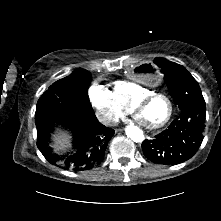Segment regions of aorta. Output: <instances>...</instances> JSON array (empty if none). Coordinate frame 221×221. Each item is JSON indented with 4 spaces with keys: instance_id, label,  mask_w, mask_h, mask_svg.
<instances>
[{
    "instance_id": "obj_1",
    "label": "aorta",
    "mask_w": 221,
    "mask_h": 221,
    "mask_svg": "<svg viewBox=\"0 0 221 221\" xmlns=\"http://www.w3.org/2000/svg\"><path fill=\"white\" fill-rule=\"evenodd\" d=\"M126 135L134 142L141 143L144 140V134L143 131L135 126V125H129L125 129Z\"/></svg>"
}]
</instances>
